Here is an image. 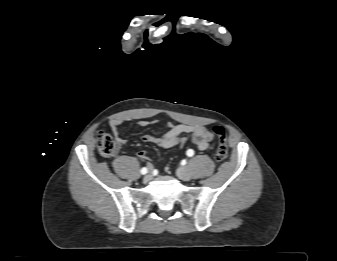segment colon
<instances>
[{
    "label": "colon",
    "mask_w": 337,
    "mask_h": 261,
    "mask_svg": "<svg viewBox=\"0 0 337 261\" xmlns=\"http://www.w3.org/2000/svg\"><path fill=\"white\" fill-rule=\"evenodd\" d=\"M212 131L218 138L215 158L217 161H223L228 157L225 130L223 127L217 125L212 128ZM97 148L101 156L108 158L116 152L117 145L109 134L99 131L97 133Z\"/></svg>",
    "instance_id": "5ec220e1"
}]
</instances>
